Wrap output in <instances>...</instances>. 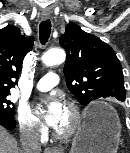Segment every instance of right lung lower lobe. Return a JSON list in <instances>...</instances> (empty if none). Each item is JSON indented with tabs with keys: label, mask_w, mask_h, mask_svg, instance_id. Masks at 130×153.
<instances>
[{
	"label": "right lung lower lobe",
	"mask_w": 130,
	"mask_h": 153,
	"mask_svg": "<svg viewBox=\"0 0 130 153\" xmlns=\"http://www.w3.org/2000/svg\"><path fill=\"white\" fill-rule=\"evenodd\" d=\"M0 125L8 129L9 131H12L16 126V122L15 120L9 119L4 115H0Z\"/></svg>",
	"instance_id": "right-lung-lower-lobe-1"
}]
</instances>
